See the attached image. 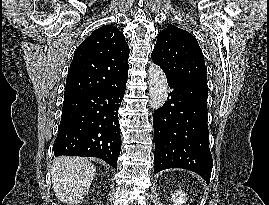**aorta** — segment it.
Segmentation results:
<instances>
[{
    "label": "aorta",
    "mask_w": 269,
    "mask_h": 205,
    "mask_svg": "<svg viewBox=\"0 0 269 205\" xmlns=\"http://www.w3.org/2000/svg\"><path fill=\"white\" fill-rule=\"evenodd\" d=\"M149 103L152 109H159L168 97L167 79L162 69L157 65H150L148 69Z\"/></svg>",
    "instance_id": "obj_1"
}]
</instances>
